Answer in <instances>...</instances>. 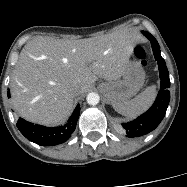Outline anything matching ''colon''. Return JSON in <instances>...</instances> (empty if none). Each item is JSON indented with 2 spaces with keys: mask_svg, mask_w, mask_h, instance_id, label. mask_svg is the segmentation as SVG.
<instances>
[{
  "mask_svg": "<svg viewBox=\"0 0 187 187\" xmlns=\"http://www.w3.org/2000/svg\"><path fill=\"white\" fill-rule=\"evenodd\" d=\"M133 55L134 58L138 60L142 65H146V52L142 46H136Z\"/></svg>",
  "mask_w": 187,
  "mask_h": 187,
  "instance_id": "colon-1",
  "label": "colon"
}]
</instances>
